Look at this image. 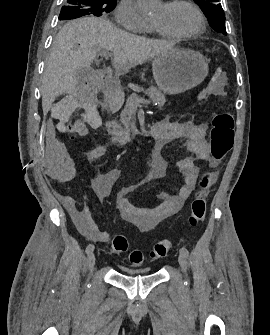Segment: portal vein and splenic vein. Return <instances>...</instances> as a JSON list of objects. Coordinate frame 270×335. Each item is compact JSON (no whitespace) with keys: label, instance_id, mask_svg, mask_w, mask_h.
I'll list each match as a JSON object with an SVG mask.
<instances>
[{"label":"portal vein and splenic vein","instance_id":"1","mask_svg":"<svg viewBox=\"0 0 270 335\" xmlns=\"http://www.w3.org/2000/svg\"><path fill=\"white\" fill-rule=\"evenodd\" d=\"M100 54L101 56H107V50H101ZM139 99H142V96H139ZM142 103L144 105L149 104L148 98H143Z\"/></svg>","mask_w":270,"mask_h":335}]
</instances>
